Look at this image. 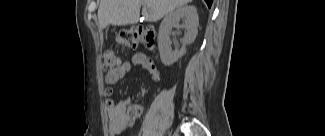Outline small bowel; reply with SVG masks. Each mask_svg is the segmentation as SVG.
Segmentation results:
<instances>
[{"label": "small bowel", "instance_id": "c3829d8e", "mask_svg": "<svg viewBox=\"0 0 325 136\" xmlns=\"http://www.w3.org/2000/svg\"><path fill=\"white\" fill-rule=\"evenodd\" d=\"M133 66L142 67L153 81L160 80V72L154 61L144 53H135L130 60L123 61L120 66L105 75V82L113 85L120 81ZM107 95L111 91L106 92ZM108 133L115 136L131 128L136 120L142 116L144 107L133 102L130 98H123L115 102L112 98L106 100Z\"/></svg>", "mask_w": 325, "mask_h": 136}]
</instances>
